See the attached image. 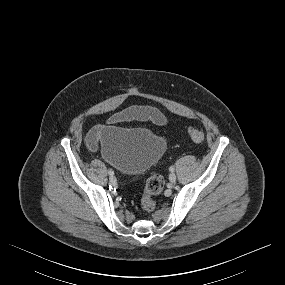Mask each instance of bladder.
Masks as SVG:
<instances>
[{
    "label": "bladder",
    "instance_id": "bladder-1",
    "mask_svg": "<svg viewBox=\"0 0 285 285\" xmlns=\"http://www.w3.org/2000/svg\"><path fill=\"white\" fill-rule=\"evenodd\" d=\"M163 138L146 128H123L104 125L101 151L104 159L119 170L137 174L153 166L163 155Z\"/></svg>",
    "mask_w": 285,
    "mask_h": 285
}]
</instances>
